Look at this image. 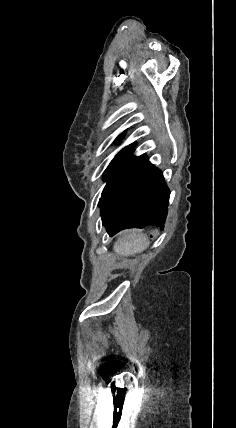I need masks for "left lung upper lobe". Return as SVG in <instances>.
Wrapping results in <instances>:
<instances>
[{"label": "left lung upper lobe", "instance_id": "1", "mask_svg": "<svg viewBox=\"0 0 236 428\" xmlns=\"http://www.w3.org/2000/svg\"><path fill=\"white\" fill-rule=\"evenodd\" d=\"M123 137L124 133L120 134L116 141L121 140ZM134 146L135 144H130L123 148L111 161L103 176L104 179L107 180V184L103 192L110 191L124 175L131 164L136 160L137 157L131 155L134 151Z\"/></svg>", "mask_w": 236, "mask_h": 428}]
</instances>
